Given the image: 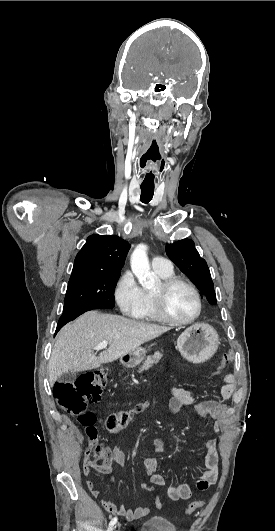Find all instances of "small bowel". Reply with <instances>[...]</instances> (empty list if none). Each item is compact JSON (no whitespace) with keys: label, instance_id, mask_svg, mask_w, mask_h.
<instances>
[{"label":"small bowel","instance_id":"c3829d8e","mask_svg":"<svg viewBox=\"0 0 275 531\" xmlns=\"http://www.w3.org/2000/svg\"><path fill=\"white\" fill-rule=\"evenodd\" d=\"M235 391V378L233 374H228L224 378V384L218 389L217 395L220 399H229ZM169 407L173 414H179L183 409H188L193 414L199 416L204 421L212 419V431L218 433L221 429L222 414L226 406L221 402L208 400L198 401L197 394L193 391L187 390L180 386H173L171 389V398ZM153 450L155 453H163L165 445L161 438H154ZM217 439L210 437L205 441V471L193 486L189 484H181L178 486L170 485L167 487V495L172 501L188 500L192 497L193 490L206 491L218 478L219 473V457L217 452ZM112 458L119 464L123 465L126 462V455L119 446H114L111 451ZM142 463L147 471L152 483L157 486L165 485L164 477L157 472V460L152 456L142 457ZM92 469H87L84 475L90 474ZM111 481H115L111 477ZM92 496L96 498L101 507L109 514L122 517L128 521L137 520L147 516L151 508L147 504H142L135 509H127L123 506H118L116 503L104 500L101 497V491L93 483L87 486Z\"/></svg>","mask_w":275,"mask_h":531}]
</instances>
